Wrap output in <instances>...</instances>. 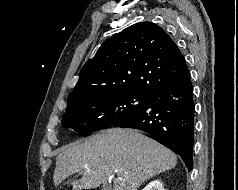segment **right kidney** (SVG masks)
<instances>
[{
  "label": "right kidney",
  "instance_id": "ca27d5eb",
  "mask_svg": "<svg viewBox=\"0 0 238 190\" xmlns=\"http://www.w3.org/2000/svg\"><path fill=\"white\" fill-rule=\"evenodd\" d=\"M143 190H165L162 183L158 180L150 182Z\"/></svg>",
  "mask_w": 238,
  "mask_h": 190
}]
</instances>
